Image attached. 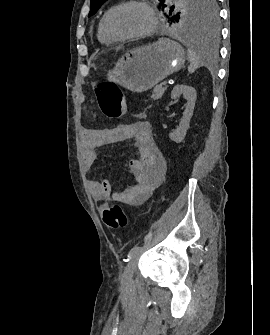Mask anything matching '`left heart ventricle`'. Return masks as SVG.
<instances>
[{"label": "left heart ventricle", "instance_id": "b2bd125f", "mask_svg": "<svg viewBox=\"0 0 270 335\" xmlns=\"http://www.w3.org/2000/svg\"><path fill=\"white\" fill-rule=\"evenodd\" d=\"M151 24L150 17L138 4L123 6L113 17L114 28L124 34H137L146 31ZM147 52H158L150 50Z\"/></svg>", "mask_w": 270, "mask_h": 335}]
</instances>
